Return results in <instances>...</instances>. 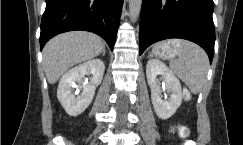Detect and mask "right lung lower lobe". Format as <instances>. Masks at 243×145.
I'll use <instances>...</instances> for the list:
<instances>
[{
	"instance_id": "obj_1",
	"label": "right lung lower lobe",
	"mask_w": 243,
	"mask_h": 145,
	"mask_svg": "<svg viewBox=\"0 0 243 145\" xmlns=\"http://www.w3.org/2000/svg\"><path fill=\"white\" fill-rule=\"evenodd\" d=\"M123 0H46L40 48L55 35L86 30L100 35L113 50Z\"/></svg>"
}]
</instances>
